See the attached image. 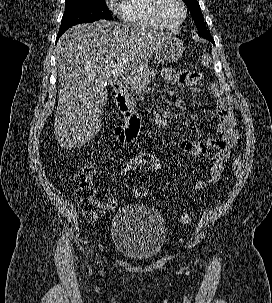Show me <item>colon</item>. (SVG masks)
<instances>
[{
	"label": "colon",
	"mask_w": 272,
	"mask_h": 303,
	"mask_svg": "<svg viewBox=\"0 0 272 303\" xmlns=\"http://www.w3.org/2000/svg\"><path fill=\"white\" fill-rule=\"evenodd\" d=\"M211 57L205 55L201 58V64L208 66L211 63ZM241 167V159L237 157L232 163V173L235 175ZM136 170H146L151 172H162L164 170L163 162L156 154L150 151L139 152L130 157L121 170V174H127ZM94 167L91 164H84L74 175L73 191L74 197L80 206L83 214L88 220H95L102 216L111 206L110 203L103 202L96 198L95 189L92 184ZM135 194L138 198L144 199L148 196L147 188L140 186L136 188ZM182 223H190L194 215L191 213H182L179 216Z\"/></svg>",
	"instance_id": "5ec220e1"
}]
</instances>
